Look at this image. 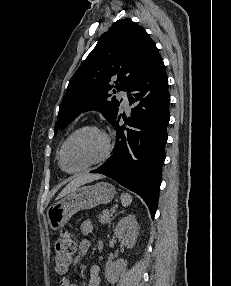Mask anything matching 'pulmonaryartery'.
<instances>
[{
  "mask_svg": "<svg viewBox=\"0 0 231 286\" xmlns=\"http://www.w3.org/2000/svg\"><path fill=\"white\" fill-rule=\"evenodd\" d=\"M120 98L122 99V102L125 106L129 105V99H128V94L126 91H121L120 92Z\"/></svg>",
  "mask_w": 231,
  "mask_h": 286,
  "instance_id": "e3ab8cb5",
  "label": "pulmonary artery"
}]
</instances>
